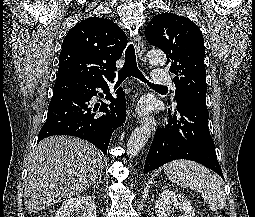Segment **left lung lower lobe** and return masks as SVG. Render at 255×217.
I'll return each instance as SVG.
<instances>
[{
	"label": "left lung lower lobe",
	"mask_w": 255,
	"mask_h": 217,
	"mask_svg": "<svg viewBox=\"0 0 255 217\" xmlns=\"http://www.w3.org/2000/svg\"><path fill=\"white\" fill-rule=\"evenodd\" d=\"M176 108L178 114L171 115L169 109L168 124L155 133L144 173L173 160L187 159L208 167L224 179L208 128L206 103L184 98L177 102Z\"/></svg>",
	"instance_id": "1"
}]
</instances>
